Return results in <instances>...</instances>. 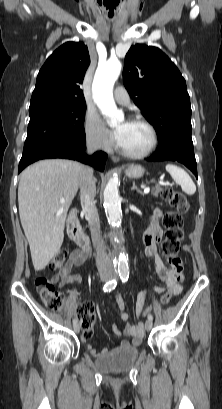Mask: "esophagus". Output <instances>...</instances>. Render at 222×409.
I'll list each match as a JSON object with an SVG mask.
<instances>
[{
  "mask_svg": "<svg viewBox=\"0 0 222 409\" xmlns=\"http://www.w3.org/2000/svg\"><path fill=\"white\" fill-rule=\"evenodd\" d=\"M111 159H112V161H113L114 163L119 162V157H117V156H112Z\"/></svg>",
  "mask_w": 222,
  "mask_h": 409,
  "instance_id": "1",
  "label": "esophagus"
}]
</instances>
